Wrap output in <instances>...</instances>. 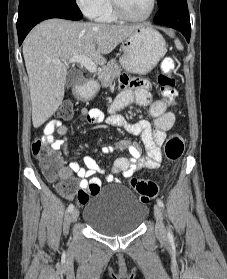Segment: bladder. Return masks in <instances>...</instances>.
I'll list each match as a JSON object with an SVG mask.
<instances>
[{
	"label": "bladder",
	"mask_w": 227,
	"mask_h": 279,
	"mask_svg": "<svg viewBox=\"0 0 227 279\" xmlns=\"http://www.w3.org/2000/svg\"><path fill=\"white\" fill-rule=\"evenodd\" d=\"M147 215L148 208L135 194L119 185L110 189L106 195L92 193L85 203L83 221L94 231L115 237L136 230Z\"/></svg>",
	"instance_id": "bladder-1"
}]
</instances>
